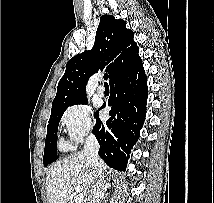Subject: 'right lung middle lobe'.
<instances>
[{
	"label": "right lung middle lobe",
	"mask_w": 214,
	"mask_h": 203,
	"mask_svg": "<svg viewBox=\"0 0 214 203\" xmlns=\"http://www.w3.org/2000/svg\"><path fill=\"white\" fill-rule=\"evenodd\" d=\"M76 104H87V99L86 98L81 99L79 101H76L64 107H61L60 109L54 112H51L49 124L47 126V135L45 139V149H44V157H43L44 166H47L48 164L58 159L56 146H57V131L59 126V121L64 111L69 106L76 105ZM95 115L96 113H94V117Z\"/></svg>",
	"instance_id": "1"
}]
</instances>
